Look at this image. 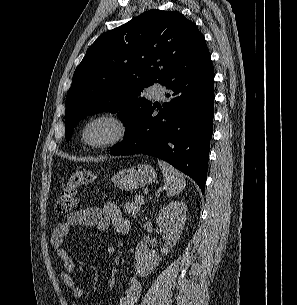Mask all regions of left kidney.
<instances>
[{
    "label": "left kidney",
    "instance_id": "obj_1",
    "mask_svg": "<svg viewBox=\"0 0 297 305\" xmlns=\"http://www.w3.org/2000/svg\"><path fill=\"white\" fill-rule=\"evenodd\" d=\"M187 206L182 201L170 202L157 215L156 223L166 235L161 249L162 255H167L177 243L185 226ZM162 257L144 242H139L135 252V271L138 276L149 275L160 263Z\"/></svg>",
    "mask_w": 297,
    "mask_h": 305
}]
</instances>
